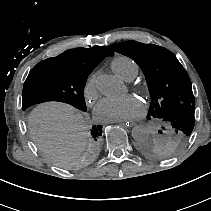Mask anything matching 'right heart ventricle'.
Returning a JSON list of instances; mask_svg holds the SVG:
<instances>
[{"label": "right heart ventricle", "instance_id": "obj_1", "mask_svg": "<svg viewBox=\"0 0 211 211\" xmlns=\"http://www.w3.org/2000/svg\"><path fill=\"white\" fill-rule=\"evenodd\" d=\"M111 67L119 77L126 81H132L139 72L137 62L126 55L116 56L111 62Z\"/></svg>", "mask_w": 211, "mask_h": 211}]
</instances>
